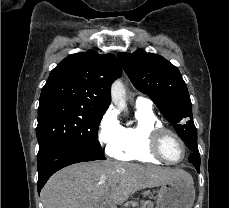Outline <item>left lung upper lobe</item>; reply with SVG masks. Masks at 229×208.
I'll use <instances>...</instances> for the list:
<instances>
[{"label": "left lung upper lobe", "mask_w": 229, "mask_h": 208, "mask_svg": "<svg viewBox=\"0 0 229 208\" xmlns=\"http://www.w3.org/2000/svg\"><path fill=\"white\" fill-rule=\"evenodd\" d=\"M118 59L133 85L150 96L181 139H196L190 96L177 67L142 49L132 54L120 53Z\"/></svg>", "instance_id": "5c2ea615"}]
</instances>
